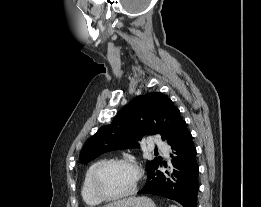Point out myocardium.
Listing matches in <instances>:
<instances>
[{
  "label": "myocardium",
  "instance_id": "obj_1",
  "mask_svg": "<svg viewBox=\"0 0 261 207\" xmlns=\"http://www.w3.org/2000/svg\"><path fill=\"white\" fill-rule=\"evenodd\" d=\"M115 164H124V165L131 166L136 172V180L133 186L128 191L116 195H108L101 189L99 185V181L103 171ZM141 179H142L141 169L134 161L127 158H112V159L105 160L94 170L91 178V187L94 194L102 201H116L133 195L137 191Z\"/></svg>",
  "mask_w": 261,
  "mask_h": 207
}]
</instances>
